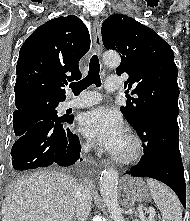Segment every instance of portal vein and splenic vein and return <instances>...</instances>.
<instances>
[{
	"label": "portal vein and splenic vein",
	"mask_w": 190,
	"mask_h": 221,
	"mask_svg": "<svg viewBox=\"0 0 190 221\" xmlns=\"http://www.w3.org/2000/svg\"><path fill=\"white\" fill-rule=\"evenodd\" d=\"M137 210H138V212L141 214L140 218L143 219V218H144V215H143V210H142V208H141V207H138ZM149 210H150V212H154V209H153V208H149ZM149 221H154V219L151 217V218L149 219Z\"/></svg>",
	"instance_id": "18ae733b"
}]
</instances>
